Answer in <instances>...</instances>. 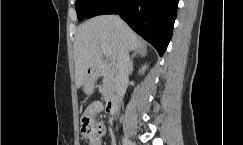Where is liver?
I'll return each mask as SVG.
<instances>
[{
	"instance_id": "6515ba94",
	"label": "liver",
	"mask_w": 243,
	"mask_h": 145,
	"mask_svg": "<svg viewBox=\"0 0 243 145\" xmlns=\"http://www.w3.org/2000/svg\"><path fill=\"white\" fill-rule=\"evenodd\" d=\"M101 45L110 50L117 62L121 50H137L145 45L133 30L115 15L94 17L79 26L74 42L75 85L80 88L90 68L96 69L102 61Z\"/></svg>"
}]
</instances>
